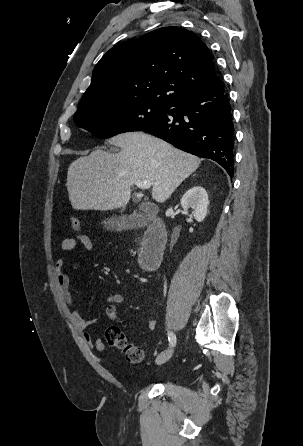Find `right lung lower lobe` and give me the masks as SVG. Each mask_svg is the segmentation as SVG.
Returning <instances> with one entry per match:
<instances>
[{
	"mask_svg": "<svg viewBox=\"0 0 303 446\" xmlns=\"http://www.w3.org/2000/svg\"><path fill=\"white\" fill-rule=\"evenodd\" d=\"M142 131L188 153L210 158L233 175L232 112L227 89L221 80L186 94Z\"/></svg>",
	"mask_w": 303,
	"mask_h": 446,
	"instance_id": "98d812e1",
	"label": "right lung lower lobe"
}]
</instances>
